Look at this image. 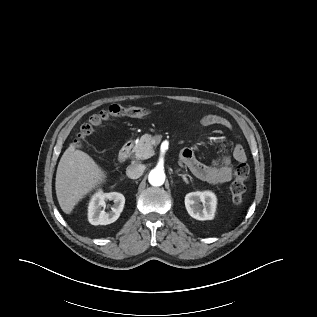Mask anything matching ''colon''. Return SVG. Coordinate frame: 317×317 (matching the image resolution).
I'll use <instances>...</instances> for the list:
<instances>
[{
  "instance_id": "1",
  "label": "colon",
  "mask_w": 317,
  "mask_h": 317,
  "mask_svg": "<svg viewBox=\"0 0 317 317\" xmlns=\"http://www.w3.org/2000/svg\"><path fill=\"white\" fill-rule=\"evenodd\" d=\"M149 113L145 107H124L121 105H111L107 110L100 111L83 124L80 128L77 144L81 145L82 142L89 137L96 128L104 124L112 118H140ZM250 174L249 166L245 163H239L234 169V179L230 184V192L234 205L240 206L244 200L245 182Z\"/></svg>"
}]
</instances>
